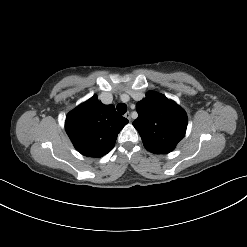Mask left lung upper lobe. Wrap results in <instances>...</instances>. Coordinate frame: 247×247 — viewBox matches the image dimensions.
Masks as SVG:
<instances>
[{"label":"left lung upper lobe","instance_id":"left-lung-upper-lobe-1","mask_svg":"<svg viewBox=\"0 0 247 247\" xmlns=\"http://www.w3.org/2000/svg\"><path fill=\"white\" fill-rule=\"evenodd\" d=\"M138 118L133 122L144 147L156 154L173 151L187 128L184 110L164 95L149 91L136 105Z\"/></svg>","mask_w":247,"mask_h":247}]
</instances>
